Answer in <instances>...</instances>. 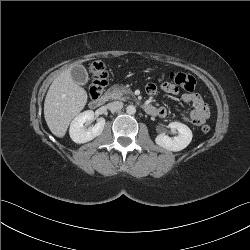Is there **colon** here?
<instances>
[{
    "label": "colon",
    "mask_w": 250,
    "mask_h": 250,
    "mask_svg": "<svg viewBox=\"0 0 250 250\" xmlns=\"http://www.w3.org/2000/svg\"><path fill=\"white\" fill-rule=\"evenodd\" d=\"M90 74L92 76V83L89 87L90 96L92 98L99 97L108 84V71L105 64L100 60L94 61L90 66ZM169 77L173 85L176 84L190 93L195 90L196 80L193 76L183 72H172ZM210 129V126L207 124L201 127L204 133H208Z\"/></svg>",
    "instance_id": "1"
}]
</instances>
